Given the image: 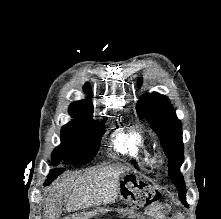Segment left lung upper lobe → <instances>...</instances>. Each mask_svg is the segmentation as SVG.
<instances>
[{
	"label": "left lung upper lobe",
	"mask_w": 221,
	"mask_h": 219,
	"mask_svg": "<svg viewBox=\"0 0 221 219\" xmlns=\"http://www.w3.org/2000/svg\"><path fill=\"white\" fill-rule=\"evenodd\" d=\"M137 113L140 118L146 117L159 136L161 145L168 157L169 176L179 190L180 199L188 207L185 201V184L179 171L184 159L181 122L178 120L170 100L156 92L145 95L137 102Z\"/></svg>",
	"instance_id": "left-lung-upper-lobe-1"
}]
</instances>
